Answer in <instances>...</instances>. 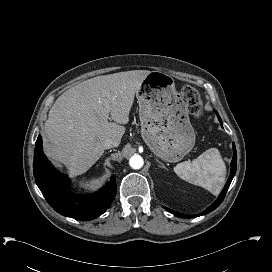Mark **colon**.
Returning a JSON list of instances; mask_svg holds the SVG:
<instances>
[{"instance_id":"colon-1","label":"colon","mask_w":272,"mask_h":272,"mask_svg":"<svg viewBox=\"0 0 272 272\" xmlns=\"http://www.w3.org/2000/svg\"><path fill=\"white\" fill-rule=\"evenodd\" d=\"M181 96L185 101L190 113L196 119H199L203 113V103L197 90L189 85L183 86L181 89Z\"/></svg>"}]
</instances>
